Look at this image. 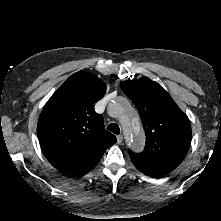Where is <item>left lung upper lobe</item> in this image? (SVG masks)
Listing matches in <instances>:
<instances>
[{"instance_id": "obj_1", "label": "left lung upper lobe", "mask_w": 221, "mask_h": 221, "mask_svg": "<svg viewBox=\"0 0 221 221\" xmlns=\"http://www.w3.org/2000/svg\"><path fill=\"white\" fill-rule=\"evenodd\" d=\"M123 92L139 111L146 134L142 153L129 155L145 175L157 177L174 170L184 159L191 143V125L166 90L143 77L121 82Z\"/></svg>"}]
</instances>
